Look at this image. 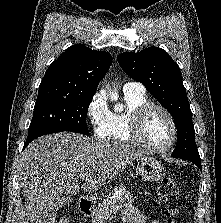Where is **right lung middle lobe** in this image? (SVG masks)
Returning a JSON list of instances; mask_svg holds the SVG:
<instances>
[{
  "label": "right lung middle lobe",
  "mask_w": 221,
  "mask_h": 223,
  "mask_svg": "<svg viewBox=\"0 0 221 223\" xmlns=\"http://www.w3.org/2000/svg\"><path fill=\"white\" fill-rule=\"evenodd\" d=\"M92 99L93 95H76L37 100L27 140L62 131L89 135L86 115Z\"/></svg>",
  "instance_id": "obj_1"
}]
</instances>
